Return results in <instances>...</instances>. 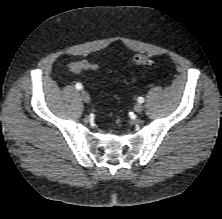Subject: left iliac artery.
Instances as JSON below:
<instances>
[{"label": "left iliac artery", "instance_id": "left-iliac-artery-1", "mask_svg": "<svg viewBox=\"0 0 222 219\" xmlns=\"http://www.w3.org/2000/svg\"><path fill=\"white\" fill-rule=\"evenodd\" d=\"M138 102H139V103H143V102H144V98H143V97H139V98H138Z\"/></svg>", "mask_w": 222, "mask_h": 219}]
</instances>
